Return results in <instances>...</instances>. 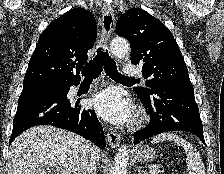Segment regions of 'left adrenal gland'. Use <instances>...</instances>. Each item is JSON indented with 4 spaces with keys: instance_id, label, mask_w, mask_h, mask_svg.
Returning <instances> with one entry per match:
<instances>
[{
    "instance_id": "1",
    "label": "left adrenal gland",
    "mask_w": 224,
    "mask_h": 174,
    "mask_svg": "<svg viewBox=\"0 0 224 174\" xmlns=\"http://www.w3.org/2000/svg\"><path fill=\"white\" fill-rule=\"evenodd\" d=\"M136 170L138 171V174H147V171L141 170V168L138 167V166H137V169Z\"/></svg>"
}]
</instances>
